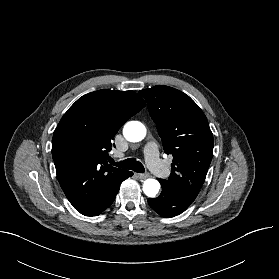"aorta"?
I'll return each instance as SVG.
<instances>
[{"label":"aorta","mask_w":279,"mask_h":279,"mask_svg":"<svg viewBox=\"0 0 279 279\" xmlns=\"http://www.w3.org/2000/svg\"><path fill=\"white\" fill-rule=\"evenodd\" d=\"M123 135L129 142L142 141L146 136L145 126L138 121H130L124 125ZM160 189V183L152 178L146 179L143 183V192L148 197H155Z\"/></svg>","instance_id":"1"}]
</instances>
